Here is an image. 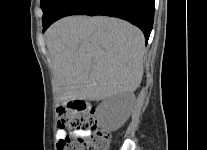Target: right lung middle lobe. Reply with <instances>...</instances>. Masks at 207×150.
<instances>
[{
	"label": "right lung middle lobe",
	"mask_w": 207,
	"mask_h": 150,
	"mask_svg": "<svg viewBox=\"0 0 207 150\" xmlns=\"http://www.w3.org/2000/svg\"><path fill=\"white\" fill-rule=\"evenodd\" d=\"M64 0H41L40 5L43 11L42 22L49 21L55 14L58 7Z\"/></svg>",
	"instance_id": "dd1d6c3e"
}]
</instances>
